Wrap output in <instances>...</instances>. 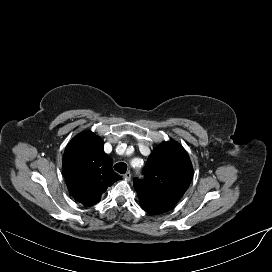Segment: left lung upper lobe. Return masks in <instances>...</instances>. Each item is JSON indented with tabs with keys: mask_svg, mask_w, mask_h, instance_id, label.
I'll return each mask as SVG.
<instances>
[{
	"mask_svg": "<svg viewBox=\"0 0 272 272\" xmlns=\"http://www.w3.org/2000/svg\"><path fill=\"white\" fill-rule=\"evenodd\" d=\"M143 174L142 180L134 181L141 207L150 214H162L186 192L193 168L180 144L163 142L148 157Z\"/></svg>",
	"mask_w": 272,
	"mask_h": 272,
	"instance_id": "5c2ea615",
	"label": "left lung upper lobe"
}]
</instances>
